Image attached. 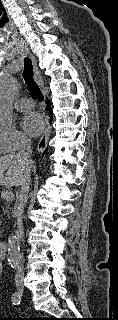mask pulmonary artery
Segmentation results:
<instances>
[{
	"mask_svg": "<svg viewBox=\"0 0 118 320\" xmlns=\"http://www.w3.org/2000/svg\"><path fill=\"white\" fill-rule=\"evenodd\" d=\"M34 103L31 99L22 98L15 103V107L18 111H28L32 109Z\"/></svg>",
	"mask_w": 118,
	"mask_h": 320,
	"instance_id": "pulmonary-artery-1",
	"label": "pulmonary artery"
}]
</instances>
